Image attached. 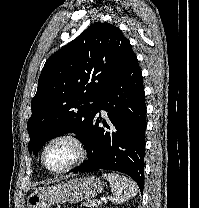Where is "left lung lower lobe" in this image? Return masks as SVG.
Here are the masks:
<instances>
[{
    "instance_id": "1",
    "label": "left lung lower lobe",
    "mask_w": 199,
    "mask_h": 208,
    "mask_svg": "<svg viewBox=\"0 0 199 208\" xmlns=\"http://www.w3.org/2000/svg\"><path fill=\"white\" fill-rule=\"evenodd\" d=\"M100 110L107 112L109 125L99 127ZM146 105L142 72L136 55L122 73L101 93L95 116L83 143L88 160L74 173L107 169L132 177L141 192L144 187Z\"/></svg>"
}]
</instances>
